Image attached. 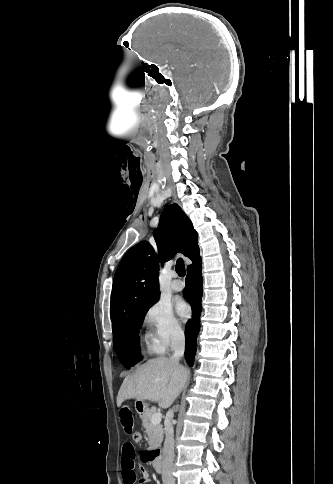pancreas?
I'll return each mask as SVG.
<instances>
[{
	"mask_svg": "<svg viewBox=\"0 0 333 484\" xmlns=\"http://www.w3.org/2000/svg\"><path fill=\"white\" fill-rule=\"evenodd\" d=\"M154 413H156L155 407L148 409L142 415V425L145 428V433L147 434L149 450L159 447L163 441V426L160 423H151V418Z\"/></svg>",
	"mask_w": 333,
	"mask_h": 484,
	"instance_id": "obj_1",
	"label": "pancreas"
}]
</instances>
